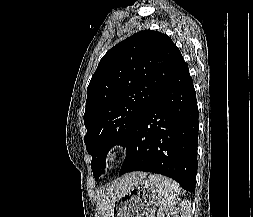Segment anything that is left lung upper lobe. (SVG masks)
I'll return each mask as SVG.
<instances>
[{
	"mask_svg": "<svg viewBox=\"0 0 253 217\" xmlns=\"http://www.w3.org/2000/svg\"><path fill=\"white\" fill-rule=\"evenodd\" d=\"M184 64L171 38L152 30L130 36L103 56L87 88L83 117L96 180L110 148L126 145L137 119Z\"/></svg>",
	"mask_w": 253,
	"mask_h": 217,
	"instance_id": "5c2ea615",
	"label": "left lung upper lobe"
}]
</instances>
